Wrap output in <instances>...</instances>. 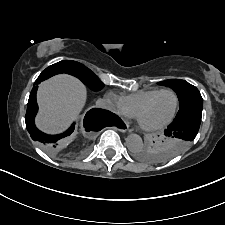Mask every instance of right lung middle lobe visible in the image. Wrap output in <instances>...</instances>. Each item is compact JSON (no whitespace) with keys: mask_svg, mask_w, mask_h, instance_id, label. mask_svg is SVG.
<instances>
[{"mask_svg":"<svg viewBox=\"0 0 225 225\" xmlns=\"http://www.w3.org/2000/svg\"><path fill=\"white\" fill-rule=\"evenodd\" d=\"M44 72L67 73L79 78L85 85L94 91H100L104 83L87 67L79 62L63 60L47 67Z\"/></svg>","mask_w":225,"mask_h":225,"instance_id":"dd1d6c3e","label":"right lung middle lobe"}]
</instances>
